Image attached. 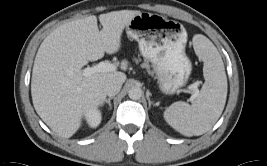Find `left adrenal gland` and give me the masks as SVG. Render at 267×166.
I'll use <instances>...</instances> for the list:
<instances>
[{"label":"left adrenal gland","instance_id":"a2214340","mask_svg":"<svg viewBox=\"0 0 267 166\" xmlns=\"http://www.w3.org/2000/svg\"><path fill=\"white\" fill-rule=\"evenodd\" d=\"M147 100H148L149 108L151 107V105H154V106L157 105L156 103H153V102L150 100V93H149V92L147 93Z\"/></svg>","mask_w":267,"mask_h":166}]
</instances>
